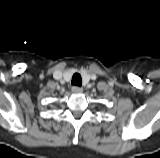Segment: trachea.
I'll list each match as a JSON object with an SVG mask.
<instances>
[{
  "mask_svg": "<svg viewBox=\"0 0 160 158\" xmlns=\"http://www.w3.org/2000/svg\"><path fill=\"white\" fill-rule=\"evenodd\" d=\"M71 84L74 85V86H79V87L81 86L82 78H81V75L79 73H75L72 76Z\"/></svg>",
  "mask_w": 160,
  "mask_h": 158,
  "instance_id": "1",
  "label": "trachea"
}]
</instances>
